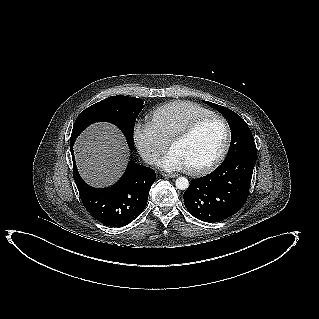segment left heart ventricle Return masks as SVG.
Returning <instances> with one entry per match:
<instances>
[{"mask_svg":"<svg viewBox=\"0 0 319 319\" xmlns=\"http://www.w3.org/2000/svg\"><path fill=\"white\" fill-rule=\"evenodd\" d=\"M225 140V129L218 120L202 123L194 133L172 146L184 161L186 168L210 163L220 152Z\"/></svg>","mask_w":319,"mask_h":319,"instance_id":"obj_1","label":"left heart ventricle"}]
</instances>
